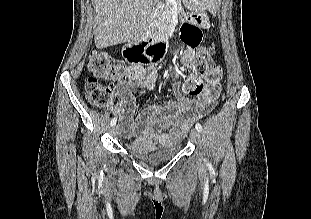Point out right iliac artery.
Wrapping results in <instances>:
<instances>
[{"label": "right iliac artery", "mask_w": 311, "mask_h": 219, "mask_svg": "<svg viewBox=\"0 0 311 219\" xmlns=\"http://www.w3.org/2000/svg\"><path fill=\"white\" fill-rule=\"evenodd\" d=\"M116 122H117V119L116 118H112L111 122H110V125L114 126L116 124Z\"/></svg>", "instance_id": "1"}]
</instances>
